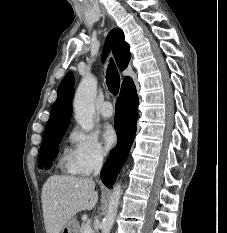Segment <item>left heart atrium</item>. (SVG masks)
I'll list each match as a JSON object with an SVG mask.
<instances>
[{"label": "left heart atrium", "instance_id": "1", "mask_svg": "<svg viewBox=\"0 0 227 233\" xmlns=\"http://www.w3.org/2000/svg\"><path fill=\"white\" fill-rule=\"evenodd\" d=\"M102 137L107 149H110L117 141V134L112 126L105 127Z\"/></svg>", "mask_w": 227, "mask_h": 233}]
</instances>
